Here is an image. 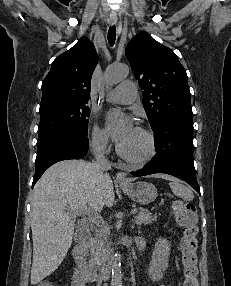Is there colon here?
<instances>
[{"mask_svg": "<svg viewBox=\"0 0 231 286\" xmlns=\"http://www.w3.org/2000/svg\"><path fill=\"white\" fill-rule=\"evenodd\" d=\"M173 215L176 222L182 227L180 248L184 281L183 286H199L197 267V210L194 204L177 201L173 205ZM37 286H55L51 282H40Z\"/></svg>", "mask_w": 231, "mask_h": 286, "instance_id": "colon-1", "label": "colon"}]
</instances>
